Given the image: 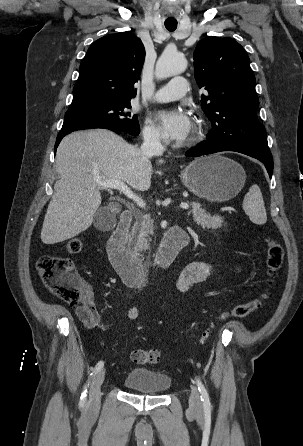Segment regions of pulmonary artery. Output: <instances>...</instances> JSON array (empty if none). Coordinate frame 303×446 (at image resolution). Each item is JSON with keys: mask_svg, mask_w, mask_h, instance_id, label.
<instances>
[{"mask_svg": "<svg viewBox=\"0 0 303 446\" xmlns=\"http://www.w3.org/2000/svg\"><path fill=\"white\" fill-rule=\"evenodd\" d=\"M188 89L187 80L184 77L176 76L162 86L154 95L157 102H170L182 98Z\"/></svg>", "mask_w": 303, "mask_h": 446, "instance_id": "e3ab8cb5", "label": "pulmonary artery"}]
</instances>
